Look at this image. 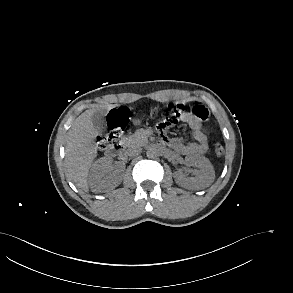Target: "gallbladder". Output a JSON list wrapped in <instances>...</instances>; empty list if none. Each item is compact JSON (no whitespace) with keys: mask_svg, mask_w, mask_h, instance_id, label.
<instances>
[{"mask_svg":"<svg viewBox=\"0 0 293 293\" xmlns=\"http://www.w3.org/2000/svg\"><path fill=\"white\" fill-rule=\"evenodd\" d=\"M105 115H106V110L103 108L96 110L94 114L92 115L93 127L95 131L98 133H102L106 129Z\"/></svg>","mask_w":293,"mask_h":293,"instance_id":"gallbladder-1","label":"gallbladder"}]
</instances>
